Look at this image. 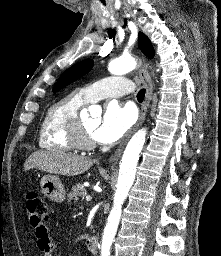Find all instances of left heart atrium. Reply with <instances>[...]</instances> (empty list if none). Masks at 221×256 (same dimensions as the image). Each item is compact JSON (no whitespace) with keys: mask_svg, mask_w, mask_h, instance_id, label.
Segmentation results:
<instances>
[{"mask_svg":"<svg viewBox=\"0 0 221 256\" xmlns=\"http://www.w3.org/2000/svg\"><path fill=\"white\" fill-rule=\"evenodd\" d=\"M135 119V111L130 106L110 102L101 122L92 132V138L100 143H114L130 129Z\"/></svg>","mask_w":221,"mask_h":256,"instance_id":"39dd6f15","label":"left heart atrium"}]
</instances>
